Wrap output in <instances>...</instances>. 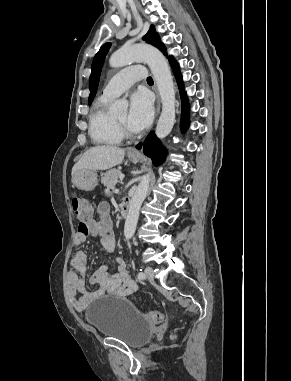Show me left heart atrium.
I'll list each match as a JSON object with an SVG mask.
<instances>
[{
	"label": "left heart atrium",
	"mask_w": 291,
	"mask_h": 381,
	"mask_svg": "<svg viewBox=\"0 0 291 381\" xmlns=\"http://www.w3.org/2000/svg\"><path fill=\"white\" fill-rule=\"evenodd\" d=\"M154 114L150 95L145 91H137L130 98L128 125L134 132L145 129L152 121Z\"/></svg>",
	"instance_id": "left-heart-atrium-1"
}]
</instances>
